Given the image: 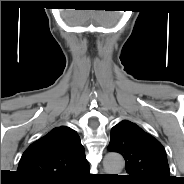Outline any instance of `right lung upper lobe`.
I'll return each mask as SVG.
<instances>
[{
  "instance_id": "1",
  "label": "right lung upper lobe",
  "mask_w": 184,
  "mask_h": 184,
  "mask_svg": "<svg viewBox=\"0 0 184 184\" xmlns=\"http://www.w3.org/2000/svg\"><path fill=\"white\" fill-rule=\"evenodd\" d=\"M89 168L77 132L60 126L31 144L23 153L17 172L33 183H66Z\"/></svg>"
}]
</instances>
